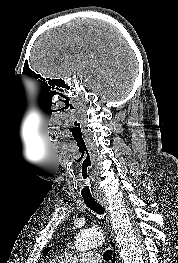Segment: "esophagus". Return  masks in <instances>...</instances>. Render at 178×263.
Masks as SVG:
<instances>
[{
	"instance_id": "1",
	"label": "esophagus",
	"mask_w": 178,
	"mask_h": 263,
	"mask_svg": "<svg viewBox=\"0 0 178 263\" xmlns=\"http://www.w3.org/2000/svg\"><path fill=\"white\" fill-rule=\"evenodd\" d=\"M97 201L103 207V209L105 210V213H106V223H107V225L110 229V233H111L110 240H109V247L114 251L113 257H112V263H117L116 244H115V240H114V232H113L112 225H111L112 219H111V215H110L109 210H108V204H107L105 198L102 196H98Z\"/></svg>"
}]
</instances>
